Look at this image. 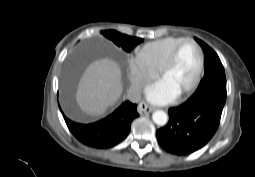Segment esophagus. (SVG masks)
Returning <instances> with one entry per match:
<instances>
[{
	"mask_svg": "<svg viewBox=\"0 0 255 177\" xmlns=\"http://www.w3.org/2000/svg\"><path fill=\"white\" fill-rule=\"evenodd\" d=\"M137 110H138V113H139L140 115H144V114H147V113H150V112L154 111V110H155V107L150 106V105L146 104L145 102H141V103L138 105Z\"/></svg>",
	"mask_w": 255,
	"mask_h": 177,
	"instance_id": "esophagus-1",
	"label": "esophagus"
}]
</instances>
